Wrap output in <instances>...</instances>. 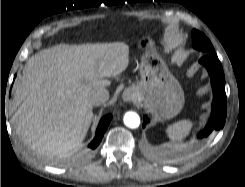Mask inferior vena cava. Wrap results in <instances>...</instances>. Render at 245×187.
Wrapping results in <instances>:
<instances>
[{
	"instance_id": "1",
	"label": "inferior vena cava",
	"mask_w": 245,
	"mask_h": 187,
	"mask_svg": "<svg viewBox=\"0 0 245 187\" xmlns=\"http://www.w3.org/2000/svg\"><path fill=\"white\" fill-rule=\"evenodd\" d=\"M109 99V91L104 88H98L89 94L88 100L92 106L104 104Z\"/></svg>"
}]
</instances>
